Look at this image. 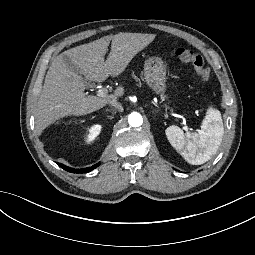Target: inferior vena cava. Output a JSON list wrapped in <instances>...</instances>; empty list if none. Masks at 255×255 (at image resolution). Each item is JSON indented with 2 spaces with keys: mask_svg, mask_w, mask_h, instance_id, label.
Listing matches in <instances>:
<instances>
[{
  "mask_svg": "<svg viewBox=\"0 0 255 255\" xmlns=\"http://www.w3.org/2000/svg\"><path fill=\"white\" fill-rule=\"evenodd\" d=\"M109 104L113 106L117 111H120V112L123 111L122 105L117 100H112L109 102Z\"/></svg>",
  "mask_w": 255,
  "mask_h": 255,
  "instance_id": "602c4592",
  "label": "inferior vena cava"
}]
</instances>
